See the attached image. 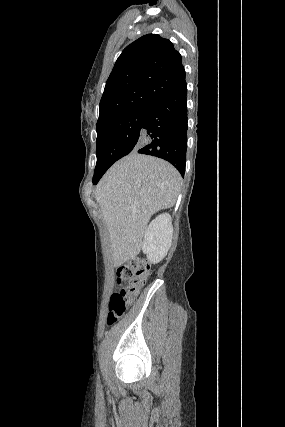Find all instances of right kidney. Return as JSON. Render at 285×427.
<instances>
[{"instance_id": "1", "label": "right kidney", "mask_w": 285, "mask_h": 427, "mask_svg": "<svg viewBox=\"0 0 285 427\" xmlns=\"http://www.w3.org/2000/svg\"><path fill=\"white\" fill-rule=\"evenodd\" d=\"M173 237L171 216L167 213L157 216L149 224L142 243V251L152 263L160 262L167 254Z\"/></svg>"}]
</instances>
